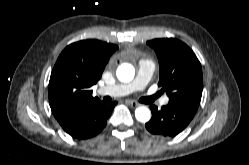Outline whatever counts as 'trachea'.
Listing matches in <instances>:
<instances>
[{"label": "trachea", "instance_id": "obj_1", "mask_svg": "<svg viewBox=\"0 0 249 165\" xmlns=\"http://www.w3.org/2000/svg\"><path fill=\"white\" fill-rule=\"evenodd\" d=\"M159 96H160L159 94H155V95H153V96H151V97L142 98L141 101L144 102V103L150 104V103H153L154 100H155L156 98H158Z\"/></svg>", "mask_w": 249, "mask_h": 165}]
</instances>
